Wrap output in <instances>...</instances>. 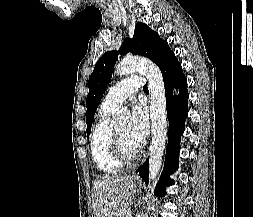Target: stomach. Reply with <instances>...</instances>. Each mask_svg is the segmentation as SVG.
Instances as JSON below:
<instances>
[{
  "instance_id": "1",
  "label": "stomach",
  "mask_w": 253,
  "mask_h": 217,
  "mask_svg": "<svg viewBox=\"0 0 253 217\" xmlns=\"http://www.w3.org/2000/svg\"><path fill=\"white\" fill-rule=\"evenodd\" d=\"M133 185H134V187H135L136 190L140 189V187H141V184L138 183V182L133 183Z\"/></svg>"
}]
</instances>
